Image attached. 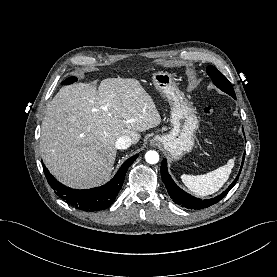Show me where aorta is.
Returning <instances> with one entry per match:
<instances>
[{"mask_svg":"<svg viewBox=\"0 0 277 277\" xmlns=\"http://www.w3.org/2000/svg\"><path fill=\"white\" fill-rule=\"evenodd\" d=\"M145 159L149 164H156L159 161V154L154 150H150L146 153Z\"/></svg>","mask_w":277,"mask_h":277,"instance_id":"1","label":"aorta"}]
</instances>
